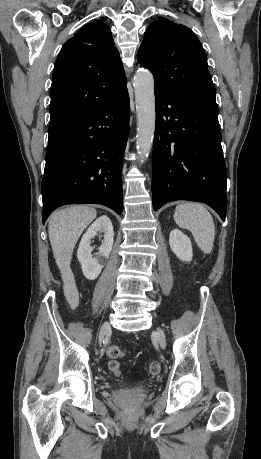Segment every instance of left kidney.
<instances>
[{
	"mask_svg": "<svg viewBox=\"0 0 261 459\" xmlns=\"http://www.w3.org/2000/svg\"><path fill=\"white\" fill-rule=\"evenodd\" d=\"M171 250L176 256L185 262H190L193 257L192 244L188 236L178 229H173L169 236Z\"/></svg>",
	"mask_w": 261,
	"mask_h": 459,
	"instance_id": "5707ae66",
	"label": "left kidney"
}]
</instances>
